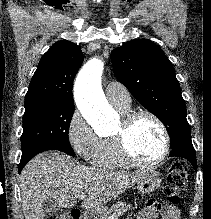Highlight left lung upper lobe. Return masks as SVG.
<instances>
[{"mask_svg": "<svg viewBox=\"0 0 211 219\" xmlns=\"http://www.w3.org/2000/svg\"><path fill=\"white\" fill-rule=\"evenodd\" d=\"M116 78L165 125L170 146L191 136L185 101L172 63L147 39L133 40L111 52Z\"/></svg>", "mask_w": 211, "mask_h": 219, "instance_id": "left-lung-upper-lobe-1", "label": "left lung upper lobe"}]
</instances>
